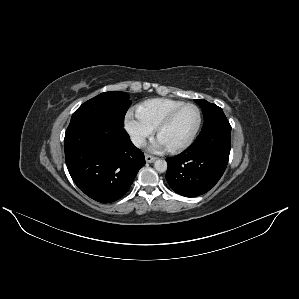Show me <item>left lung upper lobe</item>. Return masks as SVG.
<instances>
[{"label": "left lung upper lobe", "mask_w": 299, "mask_h": 299, "mask_svg": "<svg viewBox=\"0 0 299 299\" xmlns=\"http://www.w3.org/2000/svg\"><path fill=\"white\" fill-rule=\"evenodd\" d=\"M195 102L202 108L204 115L203 128L215 123L228 121L223 110L215 104L209 103L204 99H197Z\"/></svg>", "instance_id": "5c2ea615"}]
</instances>
